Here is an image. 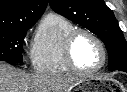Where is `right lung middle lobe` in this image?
<instances>
[{
  "label": "right lung middle lobe",
  "instance_id": "1",
  "mask_svg": "<svg viewBox=\"0 0 127 92\" xmlns=\"http://www.w3.org/2000/svg\"><path fill=\"white\" fill-rule=\"evenodd\" d=\"M33 25L0 29V60L22 62V44Z\"/></svg>",
  "mask_w": 127,
  "mask_h": 92
}]
</instances>
